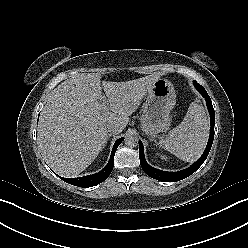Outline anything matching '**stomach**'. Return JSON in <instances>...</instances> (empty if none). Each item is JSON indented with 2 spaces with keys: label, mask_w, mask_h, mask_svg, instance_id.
I'll list each match as a JSON object with an SVG mask.
<instances>
[{
  "label": "stomach",
  "mask_w": 248,
  "mask_h": 248,
  "mask_svg": "<svg viewBox=\"0 0 248 248\" xmlns=\"http://www.w3.org/2000/svg\"><path fill=\"white\" fill-rule=\"evenodd\" d=\"M147 93L141 128L147 136L154 138L168 129L170 111L176 104V94L173 84L164 78L155 81Z\"/></svg>",
  "instance_id": "obj_1"
}]
</instances>
